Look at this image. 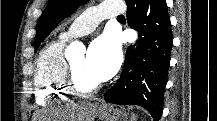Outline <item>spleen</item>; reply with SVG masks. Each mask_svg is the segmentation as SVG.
Listing matches in <instances>:
<instances>
[{"label":"spleen","instance_id":"3e777b00","mask_svg":"<svg viewBox=\"0 0 217 121\" xmlns=\"http://www.w3.org/2000/svg\"><path fill=\"white\" fill-rule=\"evenodd\" d=\"M134 119H135V116H134V115H132V119H131V121H134Z\"/></svg>","mask_w":217,"mask_h":121}]
</instances>
